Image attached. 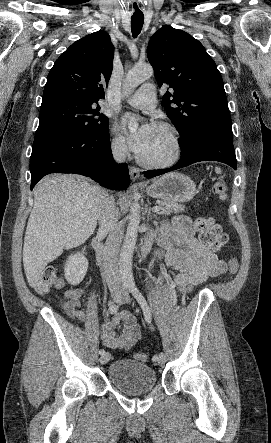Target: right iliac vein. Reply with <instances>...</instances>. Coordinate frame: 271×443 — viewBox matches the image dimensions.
Here are the masks:
<instances>
[{
    "instance_id": "right-iliac-vein-1",
    "label": "right iliac vein",
    "mask_w": 271,
    "mask_h": 443,
    "mask_svg": "<svg viewBox=\"0 0 271 443\" xmlns=\"http://www.w3.org/2000/svg\"><path fill=\"white\" fill-rule=\"evenodd\" d=\"M112 299L114 302L119 303L122 301L123 296L121 294H114L112 295ZM110 359V354L108 352L104 353L103 355L100 356V363L101 364H106Z\"/></svg>"
}]
</instances>
